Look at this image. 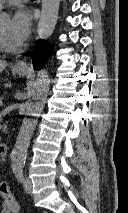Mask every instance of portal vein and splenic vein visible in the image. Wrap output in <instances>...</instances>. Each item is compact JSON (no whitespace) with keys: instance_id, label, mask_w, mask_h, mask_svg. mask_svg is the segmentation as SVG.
Here are the masks:
<instances>
[{"instance_id":"obj_1","label":"portal vein and splenic vein","mask_w":128,"mask_h":213,"mask_svg":"<svg viewBox=\"0 0 128 213\" xmlns=\"http://www.w3.org/2000/svg\"><path fill=\"white\" fill-rule=\"evenodd\" d=\"M1 106H3V102H2V100H0V107H1Z\"/></svg>"}]
</instances>
